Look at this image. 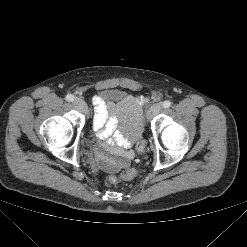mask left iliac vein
I'll return each instance as SVG.
<instances>
[{"instance_id": "left-iliac-vein-1", "label": "left iliac vein", "mask_w": 247, "mask_h": 247, "mask_svg": "<svg viewBox=\"0 0 247 247\" xmlns=\"http://www.w3.org/2000/svg\"><path fill=\"white\" fill-rule=\"evenodd\" d=\"M162 110V106L160 104H154L152 105L149 110L147 111V118L151 119L152 117H154L155 115L159 114Z\"/></svg>"}]
</instances>
